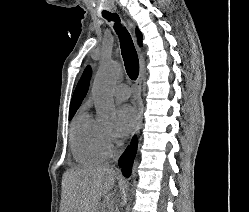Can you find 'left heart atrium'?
<instances>
[{"label": "left heart atrium", "instance_id": "1", "mask_svg": "<svg viewBox=\"0 0 249 212\" xmlns=\"http://www.w3.org/2000/svg\"><path fill=\"white\" fill-rule=\"evenodd\" d=\"M137 121V115L130 105H122L116 110L115 137L118 140L126 138L133 130Z\"/></svg>", "mask_w": 249, "mask_h": 212}]
</instances>
